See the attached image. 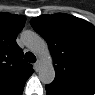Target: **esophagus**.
Here are the masks:
<instances>
[{
	"mask_svg": "<svg viewBox=\"0 0 95 95\" xmlns=\"http://www.w3.org/2000/svg\"><path fill=\"white\" fill-rule=\"evenodd\" d=\"M40 64H41V62L39 60L34 64L35 71H38L39 70Z\"/></svg>",
	"mask_w": 95,
	"mask_h": 95,
	"instance_id": "1",
	"label": "esophagus"
}]
</instances>
